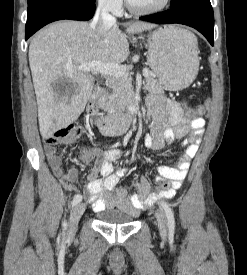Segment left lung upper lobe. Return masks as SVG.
Returning a JSON list of instances; mask_svg holds the SVG:
<instances>
[{
  "mask_svg": "<svg viewBox=\"0 0 247 275\" xmlns=\"http://www.w3.org/2000/svg\"><path fill=\"white\" fill-rule=\"evenodd\" d=\"M191 1H195V0H171V5L170 7L173 8V7H177L179 5H182L184 3H188V2H191Z\"/></svg>",
  "mask_w": 247,
  "mask_h": 275,
  "instance_id": "1",
  "label": "left lung upper lobe"
}]
</instances>
